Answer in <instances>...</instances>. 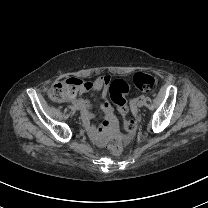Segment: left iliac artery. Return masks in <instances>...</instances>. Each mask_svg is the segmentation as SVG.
I'll return each mask as SVG.
<instances>
[{
    "mask_svg": "<svg viewBox=\"0 0 208 208\" xmlns=\"http://www.w3.org/2000/svg\"><path fill=\"white\" fill-rule=\"evenodd\" d=\"M140 98H141V99H144V98H145V96H144V95H141V96H140Z\"/></svg>",
    "mask_w": 208,
    "mask_h": 208,
    "instance_id": "1",
    "label": "left iliac artery"
}]
</instances>
